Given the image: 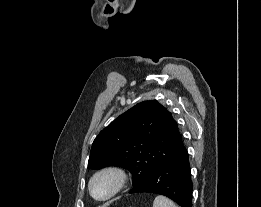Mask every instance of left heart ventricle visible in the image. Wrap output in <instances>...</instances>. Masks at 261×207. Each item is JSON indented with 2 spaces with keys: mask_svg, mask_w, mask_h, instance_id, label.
I'll return each mask as SVG.
<instances>
[{
  "mask_svg": "<svg viewBox=\"0 0 261 207\" xmlns=\"http://www.w3.org/2000/svg\"><path fill=\"white\" fill-rule=\"evenodd\" d=\"M112 189V180L108 177H100L93 184V193L96 197L106 196Z\"/></svg>",
  "mask_w": 261,
  "mask_h": 207,
  "instance_id": "1",
  "label": "left heart ventricle"
}]
</instances>
